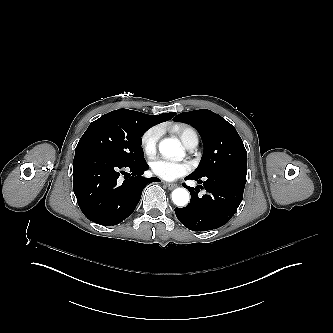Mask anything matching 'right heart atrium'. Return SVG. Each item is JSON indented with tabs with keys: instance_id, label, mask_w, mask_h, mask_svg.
<instances>
[{
	"instance_id": "1",
	"label": "right heart atrium",
	"mask_w": 333,
	"mask_h": 333,
	"mask_svg": "<svg viewBox=\"0 0 333 333\" xmlns=\"http://www.w3.org/2000/svg\"><path fill=\"white\" fill-rule=\"evenodd\" d=\"M159 136L155 130H150L144 134L141 140V146L145 155L152 158L156 155Z\"/></svg>"
}]
</instances>
